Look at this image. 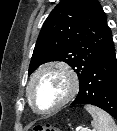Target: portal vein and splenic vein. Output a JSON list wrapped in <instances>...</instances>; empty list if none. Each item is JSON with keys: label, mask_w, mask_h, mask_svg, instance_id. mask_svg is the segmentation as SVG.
I'll return each instance as SVG.
<instances>
[{"label": "portal vein and splenic vein", "mask_w": 117, "mask_h": 131, "mask_svg": "<svg viewBox=\"0 0 117 131\" xmlns=\"http://www.w3.org/2000/svg\"><path fill=\"white\" fill-rule=\"evenodd\" d=\"M82 131H88V128H81Z\"/></svg>", "instance_id": "obj_1"}]
</instances>
